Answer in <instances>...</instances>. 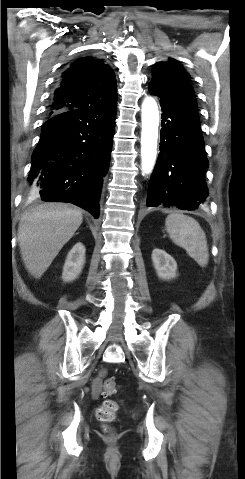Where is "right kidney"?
I'll return each instance as SVG.
<instances>
[{
    "label": "right kidney",
    "instance_id": "1",
    "mask_svg": "<svg viewBox=\"0 0 245 479\" xmlns=\"http://www.w3.org/2000/svg\"><path fill=\"white\" fill-rule=\"evenodd\" d=\"M85 251V247L81 242L75 244L69 251L63 267V281H73L80 275L85 263Z\"/></svg>",
    "mask_w": 245,
    "mask_h": 479
}]
</instances>
